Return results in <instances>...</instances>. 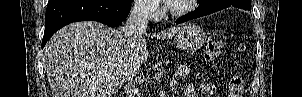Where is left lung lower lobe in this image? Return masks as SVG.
<instances>
[{
	"instance_id": "left-lung-lower-lobe-1",
	"label": "left lung lower lobe",
	"mask_w": 302,
	"mask_h": 97,
	"mask_svg": "<svg viewBox=\"0 0 302 97\" xmlns=\"http://www.w3.org/2000/svg\"><path fill=\"white\" fill-rule=\"evenodd\" d=\"M240 3H241L240 5H232V6L238 7V8L244 9V10H250V8H251L250 0H240ZM221 9H223V7L216 6V0H210L208 2H199V6L195 11L190 12V13L178 18L176 20V23L177 24L183 23L188 20H192V19H195L198 17H202L205 15L211 14V13L219 11Z\"/></svg>"
}]
</instances>
